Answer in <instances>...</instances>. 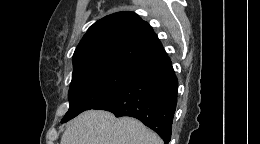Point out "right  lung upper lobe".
I'll use <instances>...</instances> for the list:
<instances>
[{"label":"right lung upper lobe","mask_w":260,"mask_h":144,"mask_svg":"<svg viewBox=\"0 0 260 144\" xmlns=\"http://www.w3.org/2000/svg\"><path fill=\"white\" fill-rule=\"evenodd\" d=\"M167 56L150 25L133 12L95 22L73 55L74 72L92 66L138 70Z\"/></svg>","instance_id":"1"}]
</instances>
